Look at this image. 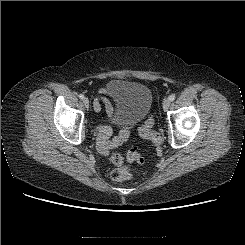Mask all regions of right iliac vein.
<instances>
[{
    "instance_id": "63e3f726",
    "label": "right iliac vein",
    "mask_w": 245,
    "mask_h": 245,
    "mask_svg": "<svg viewBox=\"0 0 245 245\" xmlns=\"http://www.w3.org/2000/svg\"><path fill=\"white\" fill-rule=\"evenodd\" d=\"M83 103H84L86 108H89V99L88 98H84Z\"/></svg>"
}]
</instances>
